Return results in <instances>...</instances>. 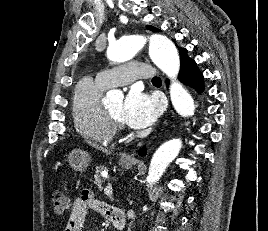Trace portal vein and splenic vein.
Here are the masks:
<instances>
[{"label": "portal vein and splenic vein", "mask_w": 268, "mask_h": 231, "mask_svg": "<svg viewBox=\"0 0 268 231\" xmlns=\"http://www.w3.org/2000/svg\"><path fill=\"white\" fill-rule=\"evenodd\" d=\"M104 194L107 196H112L113 195V189L111 184H108L105 188H104Z\"/></svg>", "instance_id": "18ae733b"}]
</instances>
